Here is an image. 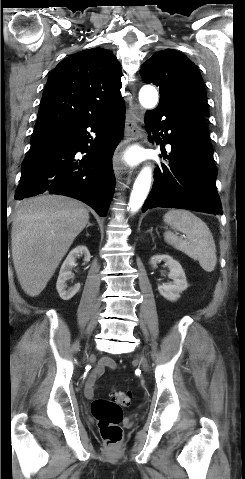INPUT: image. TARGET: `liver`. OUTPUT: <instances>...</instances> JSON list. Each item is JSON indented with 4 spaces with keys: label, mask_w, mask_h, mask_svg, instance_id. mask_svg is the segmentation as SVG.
<instances>
[{
    "label": "liver",
    "mask_w": 245,
    "mask_h": 479,
    "mask_svg": "<svg viewBox=\"0 0 245 479\" xmlns=\"http://www.w3.org/2000/svg\"><path fill=\"white\" fill-rule=\"evenodd\" d=\"M89 223L84 205L61 195H44L17 206L11 231L12 258L24 292L38 296L74 239Z\"/></svg>",
    "instance_id": "6515ba94"
}]
</instances>
